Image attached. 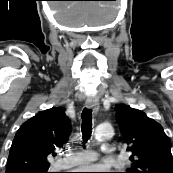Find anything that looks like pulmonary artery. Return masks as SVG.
Segmentation results:
<instances>
[{
    "label": "pulmonary artery",
    "instance_id": "1",
    "mask_svg": "<svg viewBox=\"0 0 173 173\" xmlns=\"http://www.w3.org/2000/svg\"><path fill=\"white\" fill-rule=\"evenodd\" d=\"M101 151L106 155H114V149L109 145H102ZM97 158L98 154L93 150H80L72 154L70 157L60 160L58 166L61 169H67L70 167L86 165L95 161Z\"/></svg>",
    "mask_w": 173,
    "mask_h": 173
}]
</instances>
